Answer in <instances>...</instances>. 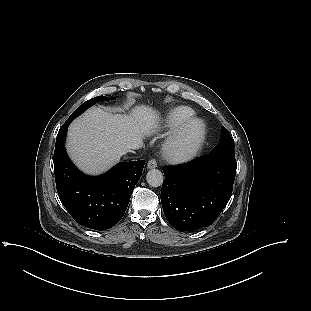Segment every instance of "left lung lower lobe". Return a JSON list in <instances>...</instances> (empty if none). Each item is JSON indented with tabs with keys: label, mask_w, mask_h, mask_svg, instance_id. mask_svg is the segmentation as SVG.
<instances>
[{
	"label": "left lung lower lobe",
	"mask_w": 311,
	"mask_h": 311,
	"mask_svg": "<svg viewBox=\"0 0 311 311\" xmlns=\"http://www.w3.org/2000/svg\"><path fill=\"white\" fill-rule=\"evenodd\" d=\"M161 202L179 231L211 225L227 205L236 175L235 157L208 154L177 167H164Z\"/></svg>",
	"instance_id": "1"
}]
</instances>
